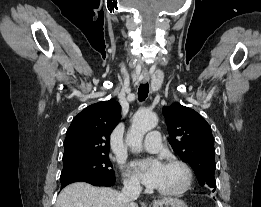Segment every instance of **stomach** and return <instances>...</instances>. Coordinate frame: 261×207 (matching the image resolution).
Returning <instances> with one entry per match:
<instances>
[{"instance_id": "1", "label": "stomach", "mask_w": 261, "mask_h": 207, "mask_svg": "<svg viewBox=\"0 0 261 207\" xmlns=\"http://www.w3.org/2000/svg\"><path fill=\"white\" fill-rule=\"evenodd\" d=\"M153 207H188L184 201L178 198H163L155 201Z\"/></svg>"}]
</instances>
